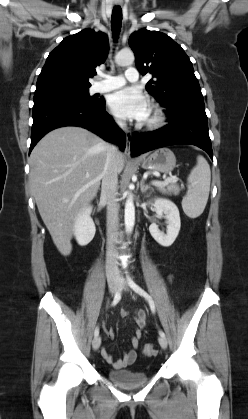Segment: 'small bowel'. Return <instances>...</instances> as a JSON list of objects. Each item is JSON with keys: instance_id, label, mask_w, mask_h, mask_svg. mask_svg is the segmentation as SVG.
<instances>
[{"instance_id": "small-bowel-1", "label": "small bowel", "mask_w": 248, "mask_h": 419, "mask_svg": "<svg viewBox=\"0 0 248 419\" xmlns=\"http://www.w3.org/2000/svg\"><path fill=\"white\" fill-rule=\"evenodd\" d=\"M121 314L126 316L129 314L128 310H122ZM133 317L136 323V329L134 335L131 338V346L132 348L128 350L121 359H113L110 352L106 349L101 351L102 357L112 365L114 369H122L131 364H133L137 358V351L140 346V339L142 337V333L144 328L147 324V315L143 310H136L133 312ZM106 335L109 339H113L115 337V332L113 329H108Z\"/></svg>"}]
</instances>
